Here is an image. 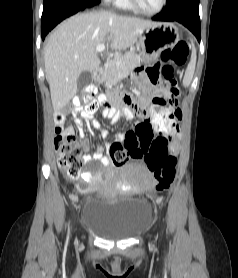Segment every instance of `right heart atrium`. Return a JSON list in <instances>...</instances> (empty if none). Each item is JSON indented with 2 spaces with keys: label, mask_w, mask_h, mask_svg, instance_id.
I'll return each instance as SVG.
<instances>
[{
  "label": "right heart atrium",
  "mask_w": 238,
  "mask_h": 278,
  "mask_svg": "<svg viewBox=\"0 0 238 278\" xmlns=\"http://www.w3.org/2000/svg\"><path fill=\"white\" fill-rule=\"evenodd\" d=\"M109 1H111V2H114V3L118 4V2H119L120 0H109Z\"/></svg>",
  "instance_id": "obj_1"
}]
</instances>
